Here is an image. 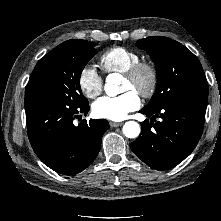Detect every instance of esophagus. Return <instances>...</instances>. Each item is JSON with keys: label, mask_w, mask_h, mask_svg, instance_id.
<instances>
[{"label": "esophagus", "mask_w": 221, "mask_h": 221, "mask_svg": "<svg viewBox=\"0 0 221 221\" xmlns=\"http://www.w3.org/2000/svg\"><path fill=\"white\" fill-rule=\"evenodd\" d=\"M123 123L122 122H110V126L111 127H119L121 126Z\"/></svg>", "instance_id": "obj_1"}]
</instances>
